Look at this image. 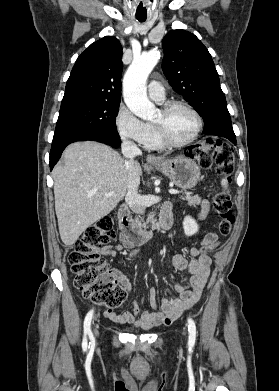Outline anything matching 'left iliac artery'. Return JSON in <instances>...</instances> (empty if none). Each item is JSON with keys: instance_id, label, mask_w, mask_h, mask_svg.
<instances>
[{"instance_id": "obj_1", "label": "left iliac artery", "mask_w": 279, "mask_h": 391, "mask_svg": "<svg viewBox=\"0 0 279 391\" xmlns=\"http://www.w3.org/2000/svg\"><path fill=\"white\" fill-rule=\"evenodd\" d=\"M189 348H193L196 340V325L192 318H188Z\"/></svg>"}]
</instances>
